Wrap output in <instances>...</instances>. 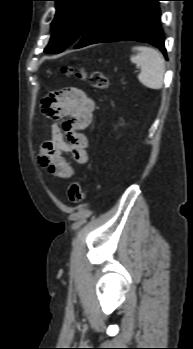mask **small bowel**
<instances>
[{"mask_svg": "<svg viewBox=\"0 0 193 349\" xmlns=\"http://www.w3.org/2000/svg\"><path fill=\"white\" fill-rule=\"evenodd\" d=\"M94 109L93 99L75 87L60 91L56 103L45 107L52 124L50 138L41 146L39 161L49 174L58 178L73 176L74 168L64 154H70L77 164L88 162L89 142L82 131L91 124Z\"/></svg>", "mask_w": 193, "mask_h": 349, "instance_id": "c3829d8e", "label": "small bowel"}]
</instances>
